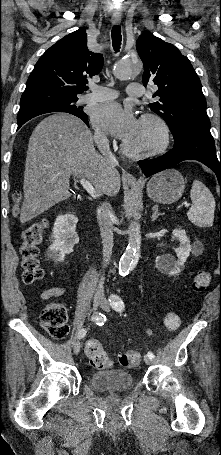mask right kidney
Instances as JSON below:
<instances>
[{"label":"right kidney","instance_id":"obj_1","mask_svg":"<svg viewBox=\"0 0 221 455\" xmlns=\"http://www.w3.org/2000/svg\"><path fill=\"white\" fill-rule=\"evenodd\" d=\"M78 218L66 214L56 218L53 227L52 244L46 251V257L54 262H62L65 255L73 252L74 245L79 241L75 232Z\"/></svg>","mask_w":221,"mask_h":455}]
</instances>
